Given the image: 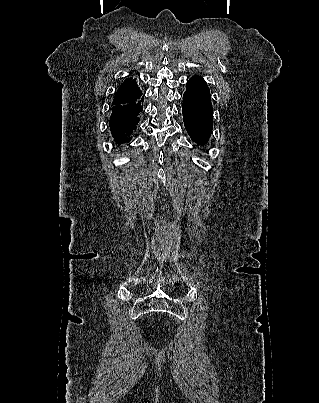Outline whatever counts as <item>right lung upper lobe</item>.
I'll return each instance as SVG.
<instances>
[{
  "instance_id": "cb5924a9",
  "label": "right lung upper lobe",
  "mask_w": 319,
  "mask_h": 403,
  "mask_svg": "<svg viewBox=\"0 0 319 403\" xmlns=\"http://www.w3.org/2000/svg\"><path fill=\"white\" fill-rule=\"evenodd\" d=\"M141 92L140 88L137 86L136 79L128 78L126 79L121 86L119 87L115 98L113 100V104H119L127 99H130Z\"/></svg>"
}]
</instances>
